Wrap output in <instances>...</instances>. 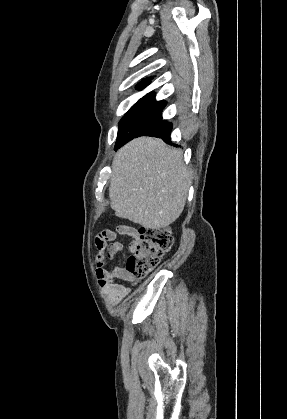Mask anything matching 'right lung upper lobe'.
Masks as SVG:
<instances>
[{
  "label": "right lung upper lobe",
  "mask_w": 287,
  "mask_h": 419,
  "mask_svg": "<svg viewBox=\"0 0 287 419\" xmlns=\"http://www.w3.org/2000/svg\"><path fill=\"white\" fill-rule=\"evenodd\" d=\"M149 84H150V78L144 79L141 83H139L137 85V89H143L146 85H149ZM165 105H166V102L164 100L160 101V102H157L155 100V95L153 93H149L146 96H144L143 98H141L140 100H138L132 106V108L161 107V106H165Z\"/></svg>",
  "instance_id": "right-lung-upper-lobe-1"
}]
</instances>
